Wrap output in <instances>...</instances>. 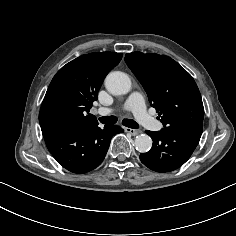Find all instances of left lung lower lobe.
I'll return each mask as SVG.
<instances>
[{"mask_svg":"<svg viewBox=\"0 0 236 236\" xmlns=\"http://www.w3.org/2000/svg\"><path fill=\"white\" fill-rule=\"evenodd\" d=\"M203 127L180 126L163 128L158 132L146 131L153 147L140 154L141 162L156 172H170L181 167L199 143Z\"/></svg>","mask_w":236,"mask_h":236,"instance_id":"left-lung-lower-lobe-1","label":"left lung lower lobe"}]
</instances>
